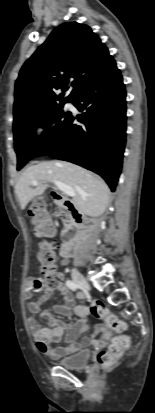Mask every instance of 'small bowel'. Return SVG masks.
I'll list each match as a JSON object with an SVG mask.
<instances>
[{
  "mask_svg": "<svg viewBox=\"0 0 155 413\" xmlns=\"http://www.w3.org/2000/svg\"><path fill=\"white\" fill-rule=\"evenodd\" d=\"M50 234L52 235L53 232ZM59 276L60 282L54 288L46 286L41 277L31 278L26 282V299L30 300L29 310L31 313H39L41 304L46 301L54 291H57L61 295L63 303L55 304V311L63 317H71L72 314L78 317V321L75 323H68L59 317H55L50 312L44 311L40 318L32 316L28 319V324L38 350L55 360L72 355L92 344L106 345L111 337L108 327L106 325H99L98 330L102 333L100 340L91 337L84 338L80 342L76 341L85 327L84 319L89 315L90 310L89 307L82 302L75 304L71 291L63 283L64 275L59 273ZM38 291H44V294L38 300H32L33 293ZM77 298L79 301H83L84 294L79 293ZM43 318L48 319L49 327L41 326V319ZM60 340H64L66 345L53 348L52 343L59 342Z\"/></svg>",
  "mask_w": 155,
  "mask_h": 413,
  "instance_id": "1",
  "label": "small bowel"
}]
</instances>
